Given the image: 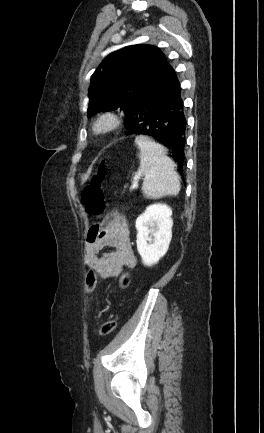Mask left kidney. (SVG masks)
Returning <instances> with one entry per match:
<instances>
[{"mask_svg": "<svg viewBox=\"0 0 264 433\" xmlns=\"http://www.w3.org/2000/svg\"><path fill=\"white\" fill-rule=\"evenodd\" d=\"M172 210L161 203L149 205L137 220V250L144 265L150 267L166 254L172 238Z\"/></svg>", "mask_w": 264, "mask_h": 433, "instance_id": "left-kidney-1", "label": "left kidney"}]
</instances>
